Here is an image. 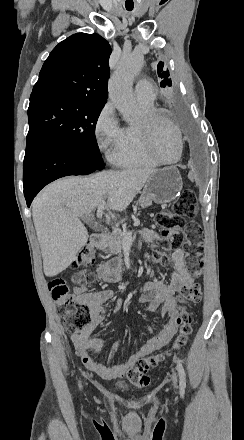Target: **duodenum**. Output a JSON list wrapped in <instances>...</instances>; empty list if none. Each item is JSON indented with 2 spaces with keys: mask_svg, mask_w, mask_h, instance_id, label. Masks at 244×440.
I'll list each match as a JSON object with an SVG mask.
<instances>
[{
  "mask_svg": "<svg viewBox=\"0 0 244 440\" xmlns=\"http://www.w3.org/2000/svg\"><path fill=\"white\" fill-rule=\"evenodd\" d=\"M91 244L96 249L102 250L105 248V236L102 233H95L91 237Z\"/></svg>",
  "mask_w": 244,
  "mask_h": 440,
  "instance_id": "obj_1",
  "label": "duodenum"
}]
</instances>
